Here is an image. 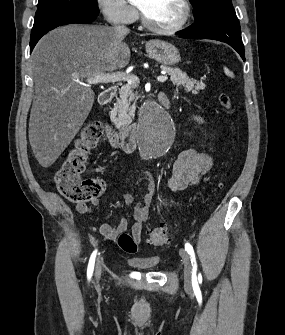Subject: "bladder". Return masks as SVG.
I'll list each match as a JSON object with an SVG mask.
<instances>
[{
	"instance_id": "31cf9c89",
	"label": "bladder",
	"mask_w": 285,
	"mask_h": 335,
	"mask_svg": "<svg viewBox=\"0 0 285 335\" xmlns=\"http://www.w3.org/2000/svg\"><path fill=\"white\" fill-rule=\"evenodd\" d=\"M126 265H131L136 269H155V265H159L160 257L152 258H126Z\"/></svg>"
}]
</instances>
